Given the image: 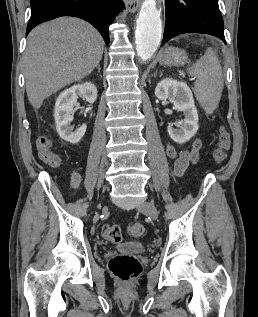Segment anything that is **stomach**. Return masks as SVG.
<instances>
[{"label":"stomach","mask_w":258,"mask_h":317,"mask_svg":"<svg viewBox=\"0 0 258 317\" xmlns=\"http://www.w3.org/2000/svg\"><path fill=\"white\" fill-rule=\"evenodd\" d=\"M159 60L160 64H165V66H178V64H185L187 52L176 46H167L161 50Z\"/></svg>","instance_id":"1"}]
</instances>
